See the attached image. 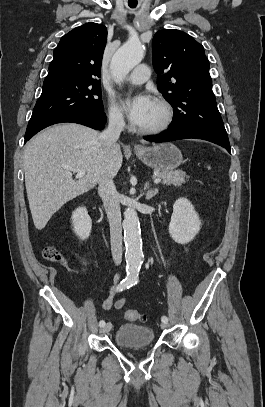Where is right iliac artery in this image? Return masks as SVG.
<instances>
[{"label": "right iliac artery", "mask_w": 265, "mask_h": 407, "mask_svg": "<svg viewBox=\"0 0 265 407\" xmlns=\"http://www.w3.org/2000/svg\"><path fill=\"white\" fill-rule=\"evenodd\" d=\"M133 284H134V281H133V280L126 278V279L122 280V281L120 282V284L118 285V287H117V292H118V291H123L124 289H129L130 287L133 286ZM104 325H105V321H104V320H101V321L99 322V326H100V327H103Z\"/></svg>", "instance_id": "1"}]
</instances>
